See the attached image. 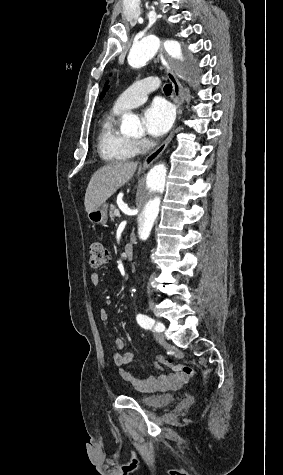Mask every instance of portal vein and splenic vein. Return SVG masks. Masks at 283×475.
<instances>
[{
	"label": "portal vein and splenic vein",
	"mask_w": 283,
	"mask_h": 475,
	"mask_svg": "<svg viewBox=\"0 0 283 475\" xmlns=\"http://www.w3.org/2000/svg\"><path fill=\"white\" fill-rule=\"evenodd\" d=\"M115 216H120L119 210H115Z\"/></svg>",
	"instance_id": "portal-vein-and-splenic-vein-1"
}]
</instances>
